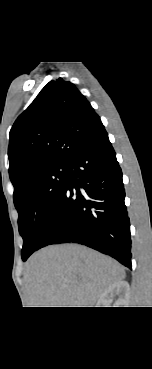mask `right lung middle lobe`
Wrapping results in <instances>:
<instances>
[{
    "instance_id": "right-lung-middle-lobe-1",
    "label": "right lung middle lobe",
    "mask_w": 152,
    "mask_h": 369,
    "mask_svg": "<svg viewBox=\"0 0 152 369\" xmlns=\"http://www.w3.org/2000/svg\"><path fill=\"white\" fill-rule=\"evenodd\" d=\"M68 164L56 165L34 174L25 187L13 195L18 211L19 232L24 240L25 261L39 247L67 184Z\"/></svg>"
}]
</instances>
